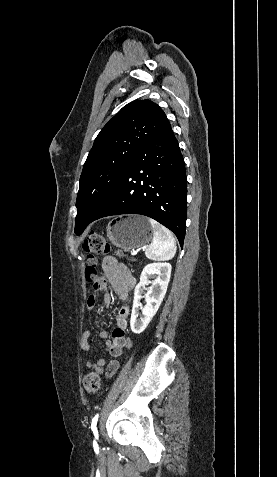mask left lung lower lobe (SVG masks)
Returning a JSON list of instances; mask_svg holds the SVG:
<instances>
[{"label":"left lung lower lobe","mask_w":277,"mask_h":477,"mask_svg":"<svg viewBox=\"0 0 277 477\" xmlns=\"http://www.w3.org/2000/svg\"><path fill=\"white\" fill-rule=\"evenodd\" d=\"M186 182L183 156L169 123L126 165L91 222L111 215H145L170 229L183 246Z\"/></svg>","instance_id":"left-lung-lower-lobe-1"}]
</instances>
